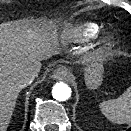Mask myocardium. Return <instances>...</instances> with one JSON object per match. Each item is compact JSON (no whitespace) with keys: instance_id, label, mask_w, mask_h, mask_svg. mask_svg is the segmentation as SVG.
Instances as JSON below:
<instances>
[{"instance_id":"1","label":"myocardium","mask_w":131,"mask_h":131,"mask_svg":"<svg viewBox=\"0 0 131 131\" xmlns=\"http://www.w3.org/2000/svg\"><path fill=\"white\" fill-rule=\"evenodd\" d=\"M114 36L110 33L103 35L99 40V52L106 51L113 43Z\"/></svg>"}]
</instances>
